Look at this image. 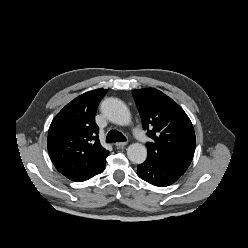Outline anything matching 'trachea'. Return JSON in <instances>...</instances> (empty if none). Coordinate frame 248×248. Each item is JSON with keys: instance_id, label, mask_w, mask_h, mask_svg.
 <instances>
[{"instance_id": "1", "label": "trachea", "mask_w": 248, "mask_h": 248, "mask_svg": "<svg viewBox=\"0 0 248 248\" xmlns=\"http://www.w3.org/2000/svg\"><path fill=\"white\" fill-rule=\"evenodd\" d=\"M124 141H126V137L117 130L109 131L106 137V142L108 143L124 142Z\"/></svg>"}]
</instances>
